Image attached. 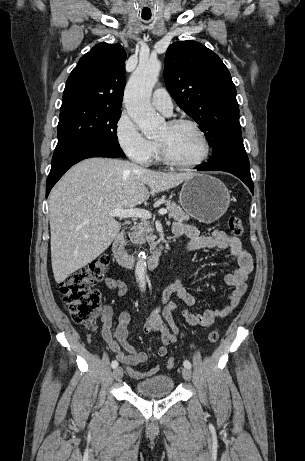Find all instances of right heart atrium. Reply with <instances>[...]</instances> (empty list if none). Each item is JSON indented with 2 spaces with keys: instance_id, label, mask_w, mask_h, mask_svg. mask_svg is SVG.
I'll list each match as a JSON object with an SVG mask.
<instances>
[{
  "instance_id": "obj_1",
  "label": "right heart atrium",
  "mask_w": 305,
  "mask_h": 461,
  "mask_svg": "<svg viewBox=\"0 0 305 461\" xmlns=\"http://www.w3.org/2000/svg\"><path fill=\"white\" fill-rule=\"evenodd\" d=\"M115 135L118 145L132 161L150 163L155 144L143 135L127 113H122L117 120Z\"/></svg>"
}]
</instances>
